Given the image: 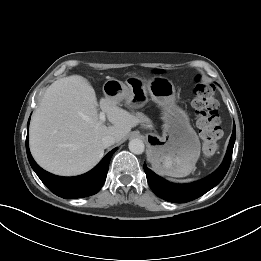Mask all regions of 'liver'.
<instances>
[{
    "instance_id": "obj_1",
    "label": "liver",
    "mask_w": 261,
    "mask_h": 261,
    "mask_svg": "<svg viewBox=\"0 0 261 261\" xmlns=\"http://www.w3.org/2000/svg\"><path fill=\"white\" fill-rule=\"evenodd\" d=\"M98 102L90 83L81 76H69L52 83L34 112L29 145L35 161L45 170L73 176L92 169L103 157L101 139L122 140L140 120L108 98L100 108L112 124L98 117Z\"/></svg>"
}]
</instances>
